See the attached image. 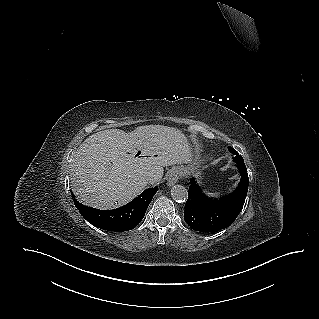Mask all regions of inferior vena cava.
Segmentation results:
<instances>
[{"label":"inferior vena cava","mask_w":319,"mask_h":319,"mask_svg":"<svg viewBox=\"0 0 319 319\" xmlns=\"http://www.w3.org/2000/svg\"><path fill=\"white\" fill-rule=\"evenodd\" d=\"M146 179H147V181L151 182V181H153V176L152 175H148Z\"/></svg>","instance_id":"1"}]
</instances>
